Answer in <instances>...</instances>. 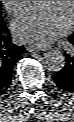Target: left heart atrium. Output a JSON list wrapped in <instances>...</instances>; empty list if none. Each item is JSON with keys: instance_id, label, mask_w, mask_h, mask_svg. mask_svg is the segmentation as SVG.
<instances>
[{"instance_id": "obj_1", "label": "left heart atrium", "mask_w": 74, "mask_h": 122, "mask_svg": "<svg viewBox=\"0 0 74 122\" xmlns=\"http://www.w3.org/2000/svg\"><path fill=\"white\" fill-rule=\"evenodd\" d=\"M69 26L70 20L54 5L25 11L12 22L15 38L28 44L50 43L65 34Z\"/></svg>"}]
</instances>
